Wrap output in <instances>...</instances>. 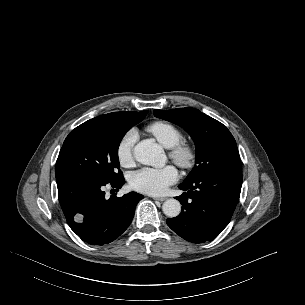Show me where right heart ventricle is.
<instances>
[{
  "label": "right heart ventricle",
  "instance_id": "right-heart-ventricle-1",
  "mask_svg": "<svg viewBox=\"0 0 305 305\" xmlns=\"http://www.w3.org/2000/svg\"><path fill=\"white\" fill-rule=\"evenodd\" d=\"M146 130L162 146L169 149L179 143L183 138L182 132L176 126L164 121L153 122L147 126Z\"/></svg>",
  "mask_w": 305,
  "mask_h": 305
}]
</instances>
